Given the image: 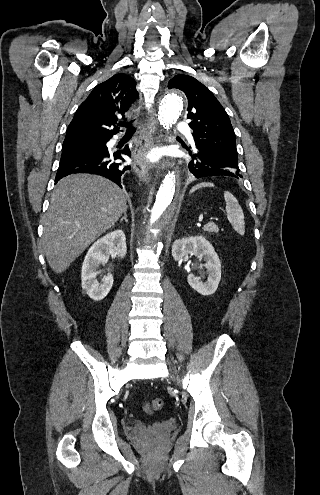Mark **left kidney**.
I'll list each match as a JSON object with an SVG mask.
<instances>
[{
	"mask_svg": "<svg viewBox=\"0 0 320 495\" xmlns=\"http://www.w3.org/2000/svg\"><path fill=\"white\" fill-rule=\"evenodd\" d=\"M189 254H194L199 260L203 259L208 278L206 282L194 274H189V285L203 296L213 294L221 280V262L213 246L202 236L178 239L173 243L172 256L176 261H182Z\"/></svg>",
	"mask_w": 320,
	"mask_h": 495,
	"instance_id": "obj_1",
	"label": "left kidney"
}]
</instances>
